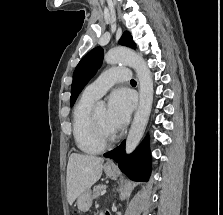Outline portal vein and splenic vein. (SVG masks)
<instances>
[{"instance_id":"portal-vein-and-splenic-vein-1","label":"portal vein and splenic vein","mask_w":223,"mask_h":215,"mask_svg":"<svg viewBox=\"0 0 223 215\" xmlns=\"http://www.w3.org/2000/svg\"><path fill=\"white\" fill-rule=\"evenodd\" d=\"M108 190H109L108 188H103V191H101L100 194H102L104 196Z\"/></svg>"}]
</instances>
